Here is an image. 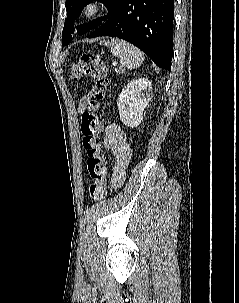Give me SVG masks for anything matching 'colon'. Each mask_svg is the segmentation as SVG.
I'll list each match as a JSON object with an SVG mask.
<instances>
[{"label":"colon","mask_w":239,"mask_h":303,"mask_svg":"<svg viewBox=\"0 0 239 303\" xmlns=\"http://www.w3.org/2000/svg\"><path fill=\"white\" fill-rule=\"evenodd\" d=\"M70 77L72 80L89 77L97 84L95 97L83 114L81 132L82 144L87 153V170L91 178L88 194L91 200L101 201L107 194L108 168L100 140L103 127L97 113L102 108V102L110 85L109 71L102 60L86 53L72 64Z\"/></svg>","instance_id":"colon-1"}]
</instances>
